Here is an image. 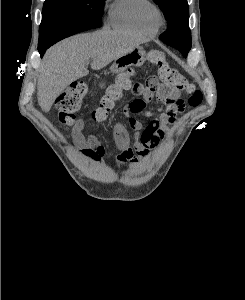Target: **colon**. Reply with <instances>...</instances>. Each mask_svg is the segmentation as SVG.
Listing matches in <instances>:
<instances>
[{
  "label": "colon",
  "instance_id": "obj_1",
  "mask_svg": "<svg viewBox=\"0 0 245 300\" xmlns=\"http://www.w3.org/2000/svg\"><path fill=\"white\" fill-rule=\"evenodd\" d=\"M150 61L158 68V77L150 79L147 86L152 92H162L171 99H179L182 92L189 94L188 104L192 107L198 106L202 102V93L175 68L167 62L163 53L153 51L150 54ZM131 71L117 74L113 81L105 85V92L100 99L99 105L91 114V121L94 123L103 122L113 110L116 103L122 98L123 92L131 87ZM88 87L83 81L73 82L70 88L61 95L57 101L58 120L65 128L71 127L75 122V114L80 109L81 104L87 94ZM133 110H142L145 106L140 99L130 102ZM88 153L87 151H83Z\"/></svg>",
  "mask_w": 245,
  "mask_h": 300
}]
</instances>
